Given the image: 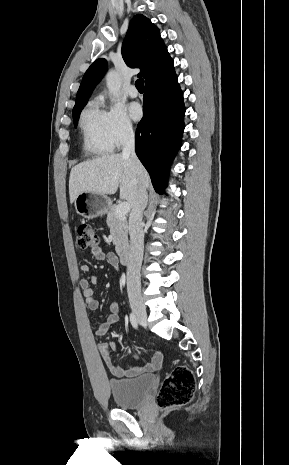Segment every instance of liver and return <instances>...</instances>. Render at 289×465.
<instances>
[{
	"label": "liver",
	"mask_w": 289,
	"mask_h": 465,
	"mask_svg": "<svg viewBox=\"0 0 289 465\" xmlns=\"http://www.w3.org/2000/svg\"><path fill=\"white\" fill-rule=\"evenodd\" d=\"M139 184H149V176L145 168L134 163L121 154H107L84 161L71 169L69 177L70 202L82 192L98 194H115L120 187V198L126 200L133 208Z\"/></svg>",
	"instance_id": "liver-1"
}]
</instances>
